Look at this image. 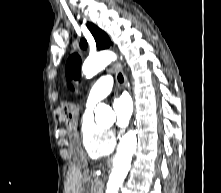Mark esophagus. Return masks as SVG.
<instances>
[{
  "instance_id": "1",
  "label": "esophagus",
  "mask_w": 221,
  "mask_h": 193,
  "mask_svg": "<svg viewBox=\"0 0 221 193\" xmlns=\"http://www.w3.org/2000/svg\"><path fill=\"white\" fill-rule=\"evenodd\" d=\"M114 68L116 69V70H118L119 72H121L122 73V75H123V78H124V85H125V87L129 90V92L131 93V91H130V86H129V83H128V80H127V77H126V75H125V73L123 72V68H122V66H121V64L120 63H114ZM132 108H135V98L133 97L132 99ZM131 126H134V123H131Z\"/></svg>"
}]
</instances>
